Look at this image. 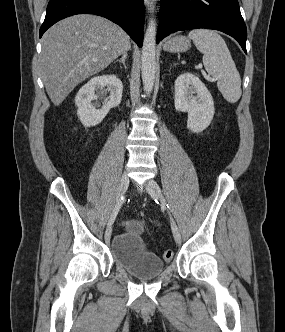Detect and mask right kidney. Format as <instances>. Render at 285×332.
Returning <instances> with one entry per match:
<instances>
[{
  "instance_id": "obj_1",
  "label": "right kidney",
  "mask_w": 285,
  "mask_h": 332,
  "mask_svg": "<svg viewBox=\"0 0 285 332\" xmlns=\"http://www.w3.org/2000/svg\"><path fill=\"white\" fill-rule=\"evenodd\" d=\"M123 85L121 80L114 74L102 75L92 78L80 88L75 104L78 107L77 116L85 127L96 126L105 118L111 108L121 103ZM109 93L101 109L93 103L100 97Z\"/></svg>"
}]
</instances>
